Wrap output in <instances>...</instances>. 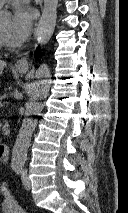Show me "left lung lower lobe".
I'll use <instances>...</instances> for the list:
<instances>
[{
  "instance_id": "left-lung-lower-lobe-1",
  "label": "left lung lower lobe",
  "mask_w": 128,
  "mask_h": 213,
  "mask_svg": "<svg viewBox=\"0 0 128 213\" xmlns=\"http://www.w3.org/2000/svg\"><path fill=\"white\" fill-rule=\"evenodd\" d=\"M39 55V53L38 52H36V56H38Z\"/></svg>"
}]
</instances>
